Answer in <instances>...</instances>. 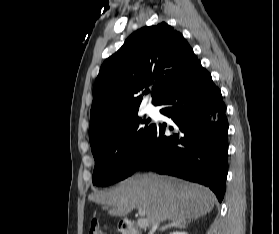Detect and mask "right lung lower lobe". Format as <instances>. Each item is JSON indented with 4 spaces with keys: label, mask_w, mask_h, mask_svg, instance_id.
<instances>
[{
    "label": "right lung lower lobe",
    "mask_w": 279,
    "mask_h": 234,
    "mask_svg": "<svg viewBox=\"0 0 279 234\" xmlns=\"http://www.w3.org/2000/svg\"><path fill=\"white\" fill-rule=\"evenodd\" d=\"M167 125H155L148 149L136 170L149 168L208 186L221 202L228 172V121L220 90L199 62L160 104Z\"/></svg>",
    "instance_id": "98d812e1"
}]
</instances>
